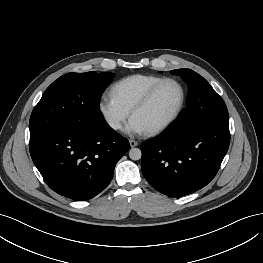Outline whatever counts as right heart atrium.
<instances>
[{
    "instance_id": "1",
    "label": "right heart atrium",
    "mask_w": 263,
    "mask_h": 263,
    "mask_svg": "<svg viewBox=\"0 0 263 263\" xmlns=\"http://www.w3.org/2000/svg\"><path fill=\"white\" fill-rule=\"evenodd\" d=\"M98 108L105 123L113 131L120 130L129 115V111L124 109L111 94L100 98Z\"/></svg>"
}]
</instances>
